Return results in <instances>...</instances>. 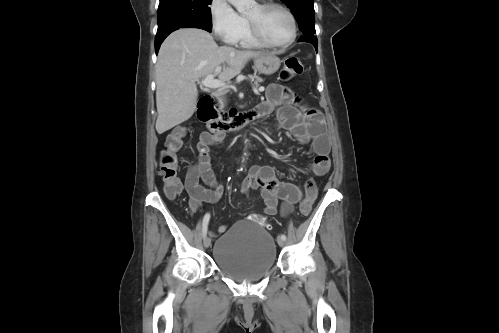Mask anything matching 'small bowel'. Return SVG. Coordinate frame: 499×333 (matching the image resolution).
Returning <instances> with one entry per match:
<instances>
[{
  "mask_svg": "<svg viewBox=\"0 0 499 333\" xmlns=\"http://www.w3.org/2000/svg\"><path fill=\"white\" fill-rule=\"evenodd\" d=\"M266 95L267 100L258 105L263 116L278 107L279 127L289 130L301 143L311 142L315 153L312 170L317 176L325 175L330 169L331 160L330 143L322 114L314 108L301 104L300 97L281 84H270ZM223 138L224 136L210 133H203L200 136L197 160L189 165L185 177V189L190 196L189 206L193 212L198 209L201 202L216 203L223 196L224 187L218 182L211 168L210 157V147L220 143ZM200 180L207 187L202 186ZM241 188L245 194L251 190H259L264 212L269 216L276 215L278 200L282 201V216H287L302 197L299 186L279 181L270 166L253 167ZM226 229L227 226L222 225L218 232L223 233Z\"/></svg>",
  "mask_w": 499,
  "mask_h": 333,
  "instance_id": "small-bowel-1",
  "label": "small bowel"
}]
</instances>
